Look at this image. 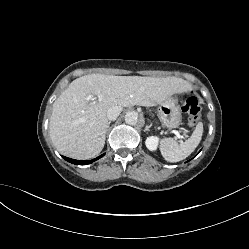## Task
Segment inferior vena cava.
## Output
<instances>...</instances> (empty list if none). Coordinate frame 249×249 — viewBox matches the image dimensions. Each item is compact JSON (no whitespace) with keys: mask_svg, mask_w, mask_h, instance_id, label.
<instances>
[{"mask_svg":"<svg viewBox=\"0 0 249 249\" xmlns=\"http://www.w3.org/2000/svg\"><path fill=\"white\" fill-rule=\"evenodd\" d=\"M122 107L121 106H112L108 109L107 111V118L109 120H116L119 114L122 112Z\"/></svg>","mask_w":249,"mask_h":249,"instance_id":"1","label":"inferior vena cava"}]
</instances>
